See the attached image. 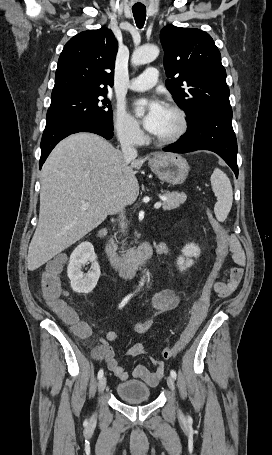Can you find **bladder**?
<instances>
[{
	"label": "bladder",
	"mask_w": 272,
	"mask_h": 455,
	"mask_svg": "<svg viewBox=\"0 0 272 455\" xmlns=\"http://www.w3.org/2000/svg\"><path fill=\"white\" fill-rule=\"evenodd\" d=\"M117 396L131 404L145 403L151 398L150 388L143 382L137 380H127L116 386Z\"/></svg>",
	"instance_id": "bladder-1"
}]
</instances>
